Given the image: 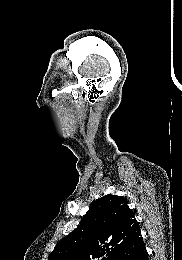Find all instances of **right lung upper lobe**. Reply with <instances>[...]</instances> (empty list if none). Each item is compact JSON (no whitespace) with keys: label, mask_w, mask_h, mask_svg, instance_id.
Here are the masks:
<instances>
[{"label":"right lung upper lobe","mask_w":182,"mask_h":260,"mask_svg":"<svg viewBox=\"0 0 182 260\" xmlns=\"http://www.w3.org/2000/svg\"><path fill=\"white\" fill-rule=\"evenodd\" d=\"M143 241L134 212L122 196L106 195L94 201L80 225L60 240L48 260H118Z\"/></svg>","instance_id":"cb5924a9"}]
</instances>
